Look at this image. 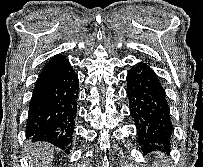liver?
Wrapping results in <instances>:
<instances>
[{
	"label": "liver",
	"instance_id": "6515ba94",
	"mask_svg": "<svg viewBox=\"0 0 203 167\" xmlns=\"http://www.w3.org/2000/svg\"><path fill=\"white\" fill-rule=\"evenodd\" d=\"M29 167H50L53 159V149L46 142L34 143L30 146Z\"/></svg>",
	"mask_w": 203,
	"mask_h": 167
}]
</instances>
